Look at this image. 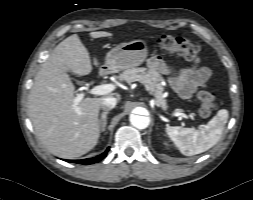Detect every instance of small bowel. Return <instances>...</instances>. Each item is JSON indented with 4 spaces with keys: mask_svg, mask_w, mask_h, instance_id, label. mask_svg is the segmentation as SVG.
I'll use <instances>...</instances> for the list:
<instances>
[{
    "mask_svg": "<svg viewBox=\"0 0 253 200\" xmlns=\"http://www.w3.org/2000/svg\"><path fill=\"white\" fill-rule=\"evenodd\" d=\"M147 63L151 69L159 71L167 70V65L159 57H151ZM210 75L211 71L208 67L183 69L178 78L181 95L185 98L193 95L209 79Z\"/></svg>",
    "mask_w": 253,
    "mask_h": 200,
    "instance_id": "c3829d8e",
    "label": "small bowel"
}]
</instances>
